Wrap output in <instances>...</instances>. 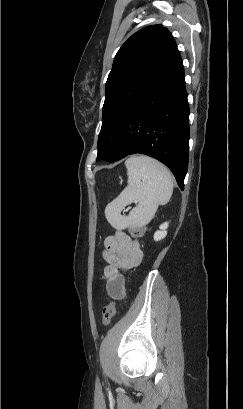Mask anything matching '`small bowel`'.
Segmentation results:
<instances>
[{"mask_svg":"<svg viewBox=\"0 0 243 409\" xmlns=\"http://www.w3.org/2000/svg\"><path fill=\"white\" fill-rule=\"evenodd\" d=\"M104 257L106 292L111 298L120 299L125 296V278L121 271L137 266L143 257L142 250L123 230L115 229L104 241Z\"/></svg>","mask_w":243,"mask_h":409,"instance_id":"c3829d8e","label":"small bowel"}]
</instances>
